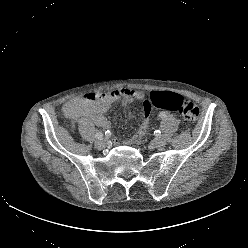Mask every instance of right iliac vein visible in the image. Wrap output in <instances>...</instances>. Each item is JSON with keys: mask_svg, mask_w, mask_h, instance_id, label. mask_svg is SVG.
Listing matches in <instances>:
<instances>
[{"mask_svg": "<svg viewBox=\"0 0 248 248\" xmlns=\"http://www.w3.org/2000/svg\"><path fill=\"white\" fill-rule=\"evenodd\" d=\"M95 146L98 149H103L106 146V140L104 138H100L98 140L95 141Z\"/></svg>", "mask_w": 248, "mask_h": 248, "instance_id": "63e3f726", "label": "right iliac vein"}]
</instances>
